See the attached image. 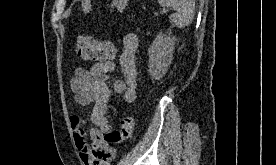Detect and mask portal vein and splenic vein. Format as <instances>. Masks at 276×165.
<instances>
[{
    "label": "portal vein and splenic vein",
    "instance_id": "1",
    "mask_svg": "<svg viewBox=\"0 0 276 165\" xmlns=\"http://www.w3.org/2000/svg\"><path fill=\"white\" fill-rule=\"evenodd\" d=\"M167 11V9L166 8H163L162 10H161V13H165Z\"/></svg>",
    "mask_w": 276,
    "mask_h": 165
}]
</instances>
